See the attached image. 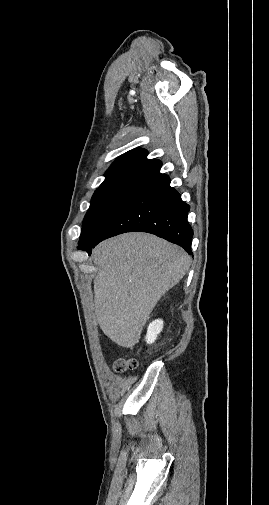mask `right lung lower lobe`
<instances>
[{"instance_id":"1","label":"right lung lower lobe","mask_w":269,"mask_h":505,"mask_svg":"<svg viewBox=\"0 0 269 505\" xmlns=\"http://www.w3.org/2000/svg\"><path fill=\"white\" fill-rule=\"evenodd\" d=\"M190 207L161 174L139 189L114 215L97 239L81 249L89 255L99 242L125 232H148L178 244L191 254L193 230L187 221Z\"/></svg>"}]
</instances>
